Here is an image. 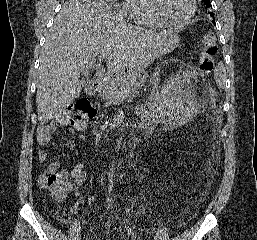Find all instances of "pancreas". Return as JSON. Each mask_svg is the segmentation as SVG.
<instances>
[{
  "label": "pancreas",
  "instance_id": "pancreas-1",
  "mask_svg": "<svg viewBox=\"0 0 257 240\" xmlns=\"http://www.w3.org/2000/svg\"><path fill=\"white\" fill-rule=\"evenodd\" d=\"M147 78L146 72L135 71V72H128L127 77L124 78L121 84L117 86H102L99 93L100 96L107 101V105L111 103L119 102L124 98L118 97V95L124 91H129V95L135 93L136 89L143 85ZM127 96V97H128Z\"/></svg>",
  "mask_w": 257,
  "mask_h": 240
}]
</instances>
